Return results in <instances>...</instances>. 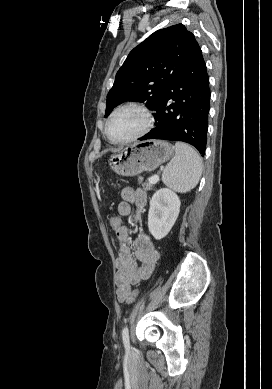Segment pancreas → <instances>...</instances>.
I'll return each instance as SVG.
<instances>
[{"label":"pancreas","instance_id":"obj_1","mask_svg":"<svg viewBox=\"0 0 272 389\" xmlns=\"http://www.w3.org/2000/svg\"><path fill=\"white\" fill-rule=\"evenodd\" d=\"M142 186L145 190H152L153 189V183L150 182V178L148 179L147 182L143 183Z\"/></svg>","mask_w":272,"mask_h":389}]
</instances>
